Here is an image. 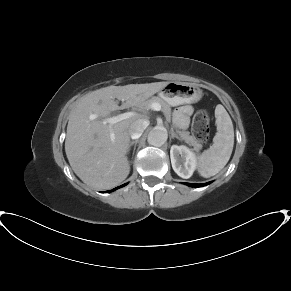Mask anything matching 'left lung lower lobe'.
<instances>
[{"mask_svg": "<svg viewBox=\"0 0 291 291\" xmlns=\"http://www.w3.org/2000/svg\"><path fill=\"white\" fill-rule=\"evenodd\" d=\"M187 185L189 186H192V187H202V186H205L209 183H204V184H193V183H186Z\"/></svg>", "mask_w": 291, "mask_h": 291, "instance_id": "obj_1", "label": "left lung lower lobe"}]
</instances>
